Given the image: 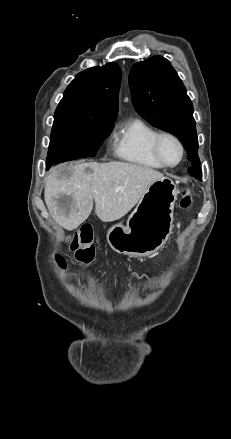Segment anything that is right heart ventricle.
Returning a JSON list of instances; mask_svg holds the SVG:
<instances>
[{
    "mask_svg": "<svg viewBox=\"0 0 231 439\" xmlns=\"http://www.w3.org/2000/svg\"><path fill=\"white\" fill-rule=\"evenodd\" d=\"M158 132L145 121L134 118L118 128L113 151L123 161L141 168L162 170L161 165L152 152V141Z\"/></svg>",
    "mask_w": 231,
    "mask_h": 439,
    "instance_id": "obj_1",
    "label": "right heart ventricle"
}]
</instances>
